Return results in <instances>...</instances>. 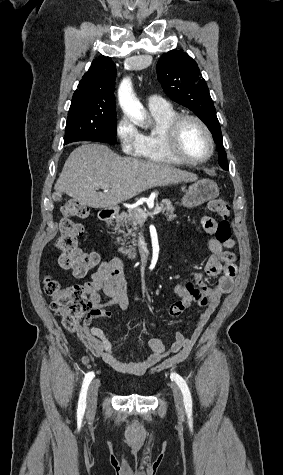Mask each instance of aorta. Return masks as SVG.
<instances>
[{
    "label": "aorta",
    "instance_id": "1",
    "mask_svg": "<svg viewBox=\"0 0 283 475\" xmlns=\"http://www.w3.org/2000/svg\"><path fill=\"white\" fill-rule=\"evenodd\" d=\"M119 104L123 112L134 122L141 123L146 118L142 104L136 99L129 78L122 80L118 89Z\"/></svg>",
    "mask_w": 283,
    "mask_h": 475
}]
</instances>
